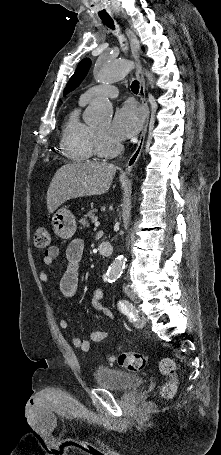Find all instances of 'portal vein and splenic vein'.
Instances as JSON below:
<instances>
[{
  "instance_id": "18ae733b",
  "label": "portal vein and splenic vein",
  "mask_w": 221,
  "mask_h": 455,
  "mask_svg": "<svg viewBox=\"0 0 221 455\" xmlns=\"http://www.w3.org/2000/svg\"><path fill=\"white\" fill-rule=\"evenodd\" d=\"M94 225H95V227H99L100 222H98V221L96 220L95 223H94Z\"/></svg>"
}]
</instances>
